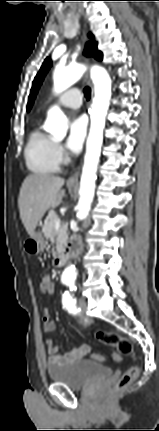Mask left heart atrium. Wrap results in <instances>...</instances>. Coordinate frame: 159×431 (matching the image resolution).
Segmentation results:
<instances>
[{
    "label": "left heart atrium",
    "mask_w": 159,
    "mask_h": 431,
    "mask_svg": "<svg viewBox=\"0 0 159 431\" xmlns=\"http://www.w3.org/2000/svg\"><path fill=\"white\" fill-rule=\"evenodd\" d=\"M86 132L87 119L85 116H78L70 122L66 141V145L70 151L78 153L81 150Z\"/></svg>",
    "instance_id": "1"
}]
</instances>
